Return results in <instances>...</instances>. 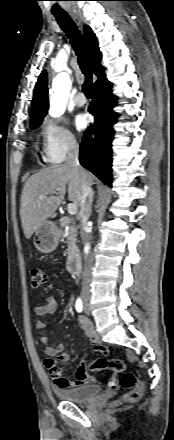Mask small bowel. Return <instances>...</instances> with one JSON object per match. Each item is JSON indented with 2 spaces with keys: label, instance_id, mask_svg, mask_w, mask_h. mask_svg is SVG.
<instances>
[{
  "label": "small bowel",
  "instance_id": "1",
  "mask_svg": "<svg viewBox=\"0 0 174 440\" xmlns=\"http://www.w3.org/2000/svg\"><path fill=\"white\" fill-rule=\"evenodd\" d=\"M57 307L58 305L55 298L48 297L43 304L35 308V313L38 316L51 315L56 312ZM79 326L83 330L85 337L89 340L95 351L108 352V350L102 346L90 320L85 317H80ZM35 327L38 332H43L46 329V323L42 320H38L35 323ZM40 341L42 343L43 352L49 357L45 360V365L49 370L50 376L56 386L62 388H75L98 382L97 378L89 376L86 373L84 361L80 362L76 370V379L68 380L64 375V371L57 366L56 361L53 359L57 357L62 363H68L71 361V356L64 352L65 345L61 343L56 347H52L48 344V340L45 336H41Z\"/></svg>",
  "mask_w": 174,
  "mask_h": 440
}]
</instances>
